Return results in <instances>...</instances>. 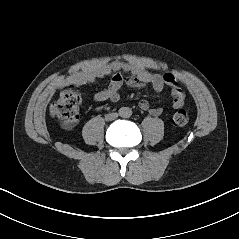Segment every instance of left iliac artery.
Segmentation results:
<instances>
[{
    "mask_svg": "<svg viewBox=\"0 0 239 239\" xmlns=\"http://www.w3.org/2000/svg\"><path fill=\"white\" fill-rule=\"evenodd\" d=\"M131 113H132L131 110H128V111H127V116H130Z\"/></svg>",
    "mask_w": 239,
    "mask_h": 239,
    "instance_id": "left-iliac-artery-1",
    "label": "left iliac artery"
}]
</instances>
